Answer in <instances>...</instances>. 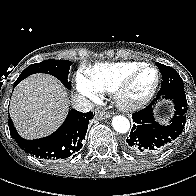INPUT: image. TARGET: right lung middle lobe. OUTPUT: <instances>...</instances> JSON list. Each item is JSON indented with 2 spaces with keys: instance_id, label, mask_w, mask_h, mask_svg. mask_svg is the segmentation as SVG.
Wrapping results in <instances>:
<instances>
[{
  "instance_id": "obj_1",
  "label": "right lung middle lobe",
  "mask_w": 196,
  "mask_h": 196,
  "mask_svg": "<svg viewBox=\"0 0 196 196\" xmlns=\"http://www.w3.org/2000/svg\"><path fill=\"white\" fill-rule=\"evenodd\" d=\"M72 63L69 60H54L49 59L42 61L40 63L31 64L28 66L18 77L15 84H18L21 80L25 79L29 75L35 73H46L53 75L59 79L66 88H71V83L67 80V75L69 74V68Z\"/></svg>"
}]
</instances>
